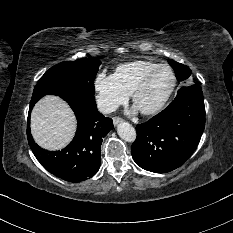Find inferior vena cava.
<instances>
[{
    "label": "inferior vena cava",
    "instance_id": "602c4592",
    "mask_svg": "<svg viewBox=\"0 0 233 233\" xmlns=\"http://www.w3.org/2000/svg\"><path fill=\"white\" fill-rule=\"evenodd\" d=\"M97 107L100 112L107 114L116 111L118 104L104 99H99L97 101Z\"/></svg>",
    "mask_w": 233,
    "mask_h": 233
}]
</instances>
